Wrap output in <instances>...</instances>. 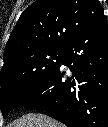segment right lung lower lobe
Listing matches in <instances>:
<instances>
[{"instance_id":"98d812e1","label":"right lung lower lobe","mask_w":108,"mask_h":127,"mask_svg":"<svg viewBox=\"0 0 108 127\" xmlns=\"http://www.w3.org/2000/svg\"><path fill=\"white\" fill-rule=\"evenodd\" d=\"M70 67L72 74L61 68ZM69 127L108 122V22L93 26L64 50L59 67L20 103Z\"/></svg>"}]
</instances>
